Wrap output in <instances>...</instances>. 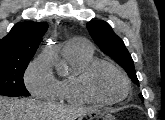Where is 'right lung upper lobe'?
<instances>
[{"label": "right lung upper lobe", "instance_id": "cb5924a9", "mask_svg": "<svg viewBox=\"0 0 165 120\" xmlns=\"http://www.w3.org/2000/svg\"><path fill=\"white\" fill-rule=\"evenodd\" d=\"M47 28L45 22L15 24L9 34L0 40V61L31 59Z\"/></svg>", "mask_w": 165, "mask_h": 120}]
</instances>
